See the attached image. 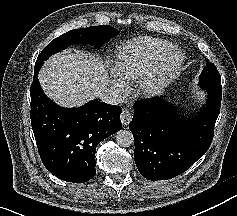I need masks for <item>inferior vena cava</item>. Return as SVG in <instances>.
<instances>
[{"label":"inferior vena cava","mask_w":237,"mask_h":216,"mask_svg":"<svg viewBox=\"0 0 237 216\" xmlns=\"http://www.w3.org/2000/svg\"><path fill=\"white\" fill-rule=\"evenodd\" d=\"M98 98L107 104L110 105H119L123 102V97L121 92H119L116 88L107 87L100 91Z\"/></svg>","instance_id":"obj_1"}]
</instances>
